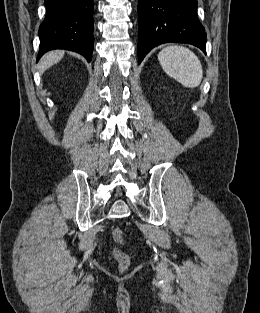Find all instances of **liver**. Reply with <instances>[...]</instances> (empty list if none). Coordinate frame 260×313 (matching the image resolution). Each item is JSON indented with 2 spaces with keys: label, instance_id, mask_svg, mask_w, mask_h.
<instances>
[{
  "label": "liver",
  "instance_id": "6515ba94",
  "mask_svg": "<svg viewBox=\"0 0 260 313\" xmlns=\"http://www.w3.org/2000/svg\"><path fill=\"white\" fill-rule=\"evenodd\" d=\"M64 56V51L62 50H55L46 53L38 64V70L40 73L46 71L49 67L53 66L54 64L58 63Z\"/></svg>",
  "mask_w": 260,
  "mask_h": 313
}]
</instances>
